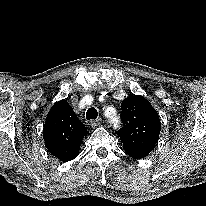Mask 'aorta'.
Instances as JSON below:
<instances>
[{
  "label": "aorta",
  "mask_w": 206,
  "mask_h": 206,
  "mask_svg": "<svg viewBox=\"0 0 206 206\" xmlns=\"http://www.w3.org/2000/svg\"><path fill=\"white\" fill-rule=\"evenodd\" d=\"M111 123H112L115 127L118 126V124L120 123V119H119V117H118L117 114H115V115L111 118Z\"/></svg>",
  "instance_id": "aorta-1"
}]
</instances>
